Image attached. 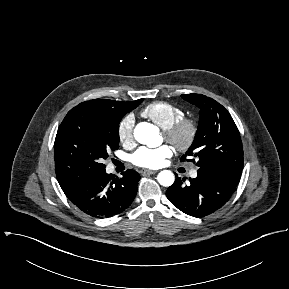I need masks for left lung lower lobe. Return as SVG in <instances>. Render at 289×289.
I'll use <instances>...</instances> for the list:
<instances>
[{"instance_id": "left-lung-lower-lobe-1", "label": "left lung lower lobe", "mask_w": 289, "mask_h": 289, "mask_svg": "<svg viewBox=\"0 0 289 289\" xmlns=\"http://www.w3.org/2000/svg\"><path fill=\"white\" fill-rule=\"evenodd\" d=\"M196 178H178L166 191L169 201L193 217H204L220 209L233 195L241 173L219 167H201Z\"/></svg>"}]
</instances>
